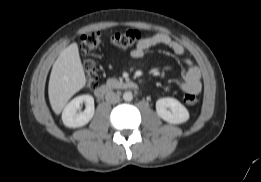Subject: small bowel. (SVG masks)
Listing matches in <instances>:
<instances>
[{
	"instance_id": "obj_1",
	"label": "small bowel",
	"mask_w": 261,
	"mask_h": 182,
	"mask_svg": "<svg viewBox=\"0 0 261 182\" xmlns=\"http://www.w3.org/2000/svg\"><path fill=\"white\" fill-rule=\"evenodd\" d=\"M157 45L168 47L176 56L184 60L185 67L182 72L180 89L184 93H193L195 95L199 94L202 89L199 68L195 66L188 57H186L185 49L182 44L168 34L156 33L142 38L136 47L131 51V57L135 59L142 58L148 49Z\"/></svg>"
}]
</instances>
